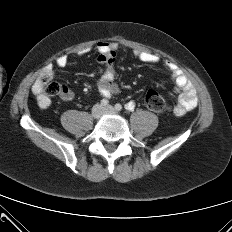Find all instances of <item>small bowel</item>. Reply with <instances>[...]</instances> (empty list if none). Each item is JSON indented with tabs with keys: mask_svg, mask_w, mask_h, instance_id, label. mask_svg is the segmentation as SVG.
<instances>
[{
	"mask_svg": "<svg viewBox=\"0 0 232 232\" xmlns=\"http://www.w3.org/2000/svg\"><path fill=\"white\" fill-rule=\"evenodd\" d=\"M91 47H85L78 52V56L82 57L91 51ZM95 49L99 53L98 62L104 66L103 72L97 78L96 84L99 93L109 98L119 93V86L115 82L116 69H115V55H116V44L108 41H100L96 44ZM134 56L140 61L148 65H159L161 63L160 58L151 52L144 50H135ZM69 64L67 56L62 55L57 58L56 65L60 68L66 67ZM165 68L171 75V79L178 91V97L176 104L173 106V112L176 115H184L186 112L194 109L198 104L197 92L195 90L193 82L184 73V71L175 63L171 61H165L163 63ZM65 93L61 95L64 101H70L73 99L74 94L67 86H63ZM32 92L35 95L37 104L42 109H47L51 106L50 98L40 87L38 81L32 86ZM134 104L133 102H129ZM128 103V104H129Z\"/></svg>",
	"mask_w": 232,
	"mask_h": 232,
	"instance_id": "obj_1",
	"label": "small bowel"
}]
</instances>
